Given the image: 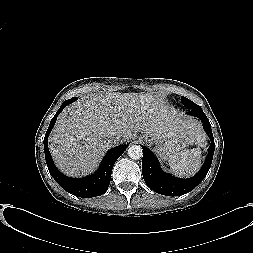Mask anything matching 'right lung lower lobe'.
Segmentation results:
<instances>
[{
    "label": "right lung lower lobe",
    "mask_w": 253,
    "mask_h": 253,
    "mask_svg": "<svg viewBox=\"0 0 253 253\" xmlns=\"http://www.w3.org/2000/svg\"><path fill=\"white\" fill-rule=\"evenodd\" d=\"M76 100V97L66 100L61 105L55 116L51 119L50 125L44 137L45 159L51 176L67 192L83 198L100 196L108 189L114 163L126 150L127 145H121L110 149L101 162L99 169L91 176L82 179L69 178L59 172L52 161V157L48 149V136L54 127L58 115L67 105Z\"/></svg>",
    "instance_id": "right-lung-lower-lobe-1"
}]
</instances>
